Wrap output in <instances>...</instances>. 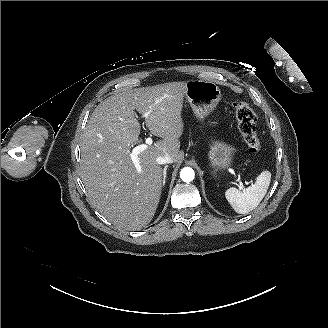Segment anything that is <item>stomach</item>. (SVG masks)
<instances>
[{"label":"stomach","instance_id":"obj_1","mask_svg":"<svg viewBox=\"0 0 328 328\" xmlns=\"http://www.w3.org/2000/svg\"><path fill=\"white\" fill-rule=\"evenodd\" d=\"M186 97L199 124L205 122L216 110L222 95L216 83L211 81H190L186 85ZM236 147L224 140L210 138L207 153V169L214 180L221 182L227 176L236 159Z\"/></svg>","mask_w":328,"mask_h":328}]
</instances>
